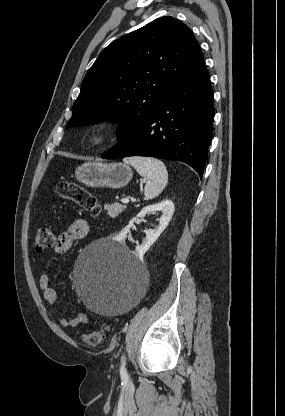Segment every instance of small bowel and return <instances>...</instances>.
Listing matches in <instances>:
<instances>
[{"label":"small bowel","instance_id":"small-bowel-1","mask_svg":"<svg viewBox=\"0 0 285 416\" xmlns=\"http://www.w3.org/2000/svg\"><path fill=\"white\" fill-rule=\"evenodd\" d=\"M90 233L89 222L85 219H77L73 221L68 229L59 235L54 245V253L56 255H63L72 247V244L76 240L86 238ZM39 285L43 291L45 300L54 305L58 300L57 292L50 286L49 276L42 274L39 278ZM58 323L66 328H75L81 324L88 322V316L85 313H77L73 318H67L59 316L57 318Z\"/></svg>","mask_w":285,"mask_h":416}]
</instances>
